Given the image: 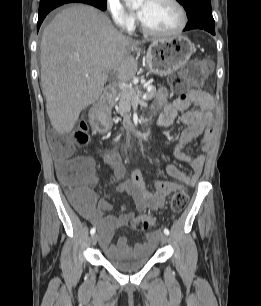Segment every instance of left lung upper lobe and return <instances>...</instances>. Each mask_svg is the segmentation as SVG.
Wrapping results in <instances>:
<instances>
[{
	"label": "left lung upper lobe",
	"instance_id": "1",
	"mask_svg": "<svg viewBox=\"0 0 261 306\" xmlns=\"http://www.w3.org/2000/svg\"><path fill=\"white\" fill-rule=\"evenodd\" d=\"M183 5L188 19H204L214 22L210 0H177Z\"/></svg>",
	"mask_w": 261,
	"mask_h": 306
}]
</instances>
